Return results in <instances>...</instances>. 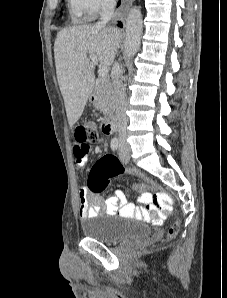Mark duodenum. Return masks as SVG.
<instances>
[{
  "label": "duodenum",
  "instance_id": "1",
  "mask_svg": "<svg viewBox=\"0 0 227 298\" xmlns=\"http://www.w3.org/2000/svg\"><path fill=\"white\" fill-rule=\"evenodd\" d=\"M90 99L95 100L94 94H91ZM116 127L117 124L114 115L107 116L102 123V131L104 134H112L116 130Z\"/></svg>",
  "mask_w": 227,
  "mask_h": 298
}]
</instances>
